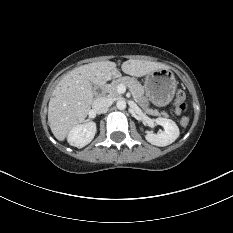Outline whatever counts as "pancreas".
<instances>
[{"mask_svg": "<svg viewBox=\"0 0 233 233\" xmlns=\"http://www.w3.org/2000/svg\"><path fill=\"white\" fill-rule=\"evenodd\" d=\"M119 85H124L125 87H128L135 99H139L144 94V87L134 78L127 76L114 80L111 84L105 87L104 92L108 93L109 97L116 98L120 96V93L117 91ZM148 113L157 114L155 110H148ZM161 114L168 117V114L166 112H162Z\"/></svg>", "mask_w": 233, "mask_h": 233, "instance_id": "obj_1", "label": "pancreas"}]
</instances>
